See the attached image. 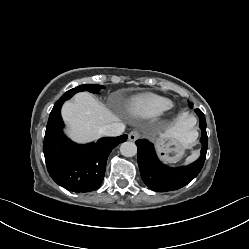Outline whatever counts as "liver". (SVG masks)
Wrapping results in <instances>:
<instances>
[{
	"label": "liver",
	"mask_w": 249,
	"mask_h": 249,
	"mask_svg": "<svg viewBox=\"0 0 249 249\" xmlns=\"http://www.w3.org/2000/svg\"><path fill=\"white\" fill-rule=\"evenodd\" d=\"M62 117L68 125L67 135L77 143L91 142L101 136L100 129L119 121V117L98 102L90 93L80 92L72 101L62 107ZM195 119L186 114L181 115L166 130L167 135L180 137L187 146L197 138L192 128Z\"/></svg>",
	"instance_id": "obj_1"
}]
</instances>
